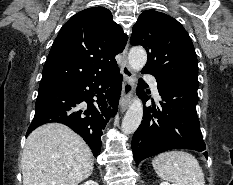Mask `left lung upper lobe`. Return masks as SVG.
Returning a JSON list of instances; mask_svg holds the SVG:
<instances>
[{
	"mask_svg": "<svg viewBox=\"0 0 233 185\" xmlns=\"http://www.w3.org/2000/svg\"><path fill=\"white\" fill-rule=\"evenodd\" d=\"M130 43L142 45L148 60L142 71L157 80H189L198 83L197 57L192 41L174 18L154 10L140 14Z\"/></svg>",
	"mask_w": 233,
	"mask_h": 185,
	"instance_id": "obj_1",
	"label": "left lung upper lobe"
}]
</instances>
